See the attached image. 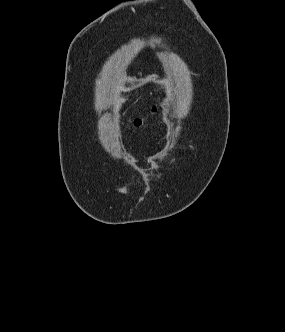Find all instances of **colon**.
Returning a JSON list of instances; mask_svg holds the SVG:
<instances>
[{
  "label": "colon",
  "mask_w": 285,
  "mask_h": 332,
  "mask_svg": "<svg viewBox=\"0 0 285 332\" xmlns=\"http://www.w3.org/2000/svg\"><path fill=\"white\" fill-rule=\"evenodd\" d=\"M141 123H142V120H141V119H136V120L134 121L133 125H134L135 127H138V126L141 125Z\"/></svg>",
  "instance_id": "colon-1"
}]
</instances>
